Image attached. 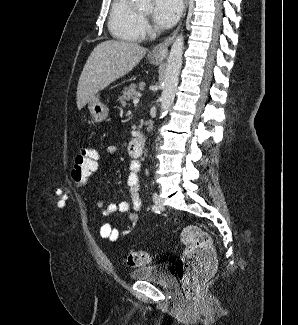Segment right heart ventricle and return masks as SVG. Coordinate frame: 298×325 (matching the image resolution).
Instances as JSON below:
<instances>
[{"label": "right heart ventricle", "mask_w": 298, "mask_h": 325, "mask_svg": "<svg viewBox=\"0 0 298 325\" xmlns=\"http://www.w3.org/2000/svg\"><path fill=\"white\" fill-rule=\"evenodd\" d=\"M134 4L133 0H117L112 4L108 19L111 37H119V41L141 42Z\"/></svg>", "instance_id": "1"}]
</instances>
